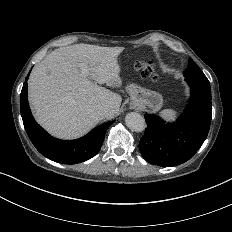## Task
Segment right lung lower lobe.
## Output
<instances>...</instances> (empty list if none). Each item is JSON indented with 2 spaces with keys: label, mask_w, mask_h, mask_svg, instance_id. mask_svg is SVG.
I'll list each match as a JSON object with an SVG mask.
<instances>
[{
  "label": "right lung lower lobe",
  "mask_w": 232,
  "mask_h": 232,
  "mask_svg": "<svg viewBox=\"0 0 232 232\" xmlns=\"http://www.w3.org/2000/svg\"><path fill=\"white\" fill-rule=\"evenodd\" d=\"M29 74L26 77L28 80ZM20 111L24 128L36 149L48 159L61 164H76L94 157L100 150L105 132L115 121L104 123L82 138L59 140L50 136L34 120L27 99V82L20 95Z\"/></svg>",
  "instance_id": "1"
}]
</instances>
